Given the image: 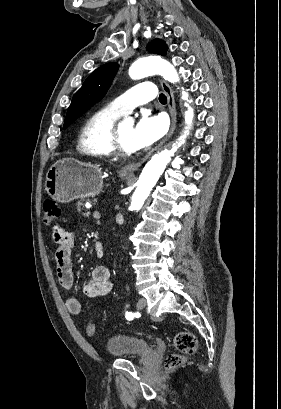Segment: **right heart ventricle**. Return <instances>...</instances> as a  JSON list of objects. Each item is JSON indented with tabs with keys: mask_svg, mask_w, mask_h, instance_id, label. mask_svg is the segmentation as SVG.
<instances>
[{
	"mask_svg": "<svg viewBox=\"0 0 281 409\" xmlns=\"http://www.w3.org/2000/svg\"><path fill=\"white\" fill-rule=\"evenodd\" d=\"M119 116V113L107 107L93 112L82 128L80 143L82 151L94 158L109 157L106 136L110 126L116 122Z\"/></svg>",
	"mask_w": 281,
	"mask_h": 409,
	"instance_id": "right-heart-ventricle-1",
	"label": "right heart ventricle"
}]
</instances>
